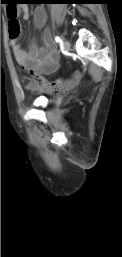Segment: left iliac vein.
I'll use <instances>...</instances> for the list:
<instances>
[{
  "label": "left iliac vein",
  "mask_w": 122,
  "mask_h": 257,
  "mask_svg": "<svg viewBox=\"0 0 122 257\" xmlns=\"http://www.w3.org/2000/svg\"><path fill=\"white\" fill-rule=\"evenodd\" d=\"M63 46H64V49L68 51L70 50L71 44L68 40H64Z\"/></svg>",
  "instance_id": "obj_1"
}]
</instances>
